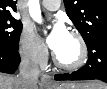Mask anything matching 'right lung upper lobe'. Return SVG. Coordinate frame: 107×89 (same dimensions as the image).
<instances>
[{
    "instance_id": "1",
    "label": "right lung upper lobe",
    "mask_w": 107,
    "mask_h": 89,
    "mask_svg": "<svg viewBox=\"0 0 107 89\" xmlns=\"http://www.w3.org/2000/svg\"><path fill=\"white\" fill-rule=\"evenodd\" d=\"M9 9L16 11V2L14 0H0V15H10Z\"/></svg>"
}]
</instances>
